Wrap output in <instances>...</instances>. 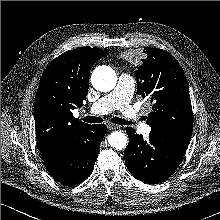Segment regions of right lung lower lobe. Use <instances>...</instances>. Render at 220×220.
<instances>
[{"label":"right lung lower lobe","mask_w":220,"mask_h":220,"mask_svg":"<svg viewBox=\"0 0 220 220\" xmlns=\"http://www.w3.org/2000/svg\"><path fill=\"white\" fill-rule=\"evenodd\" d=\"M107 131L104 124L91 125L76 136L53 159L46 163L51 176L72 186L84 181L92 172L100 143Z\"/></svg>","instance_id":"right-lung-lower-lobe-1"}]
</instances>
